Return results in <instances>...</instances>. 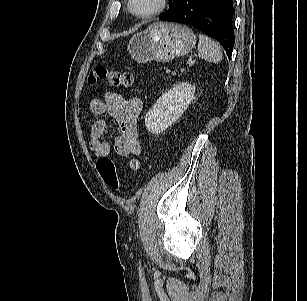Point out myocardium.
<instances>
[{
    "label": "myocardium",
    "instance_id": "1",
    "mask_svg": "<svg viewBox=\"0 0 307 301\" xmlns=\"http://www.w3.org/2000/svg\"><path fill=\"white\" fill-rule=\"evenodd\" d=\"M132 2L133 0H127V8L133 16L140 18V19H150V18H153L161 14L168 6L169 0H160L159 5L153 11L149 13H145V14L136 12L132 6Z\"/></svg>",
    "mask_w": 307,
    "mask_h": 301
}]
</instances>
